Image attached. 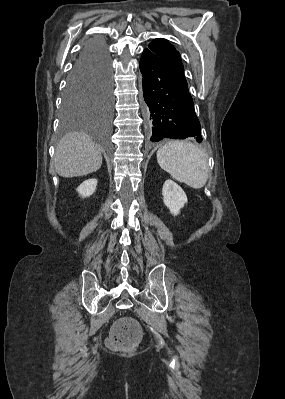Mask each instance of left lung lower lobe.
Instances as JSON below:
<instances>
[{
  "label": "left lung lower lobe",
  "mask_w": 285,
  "mask_h": 399,
  "mask_svg": "<svg viewBox=\"0 0 285 399\" xmlns=\"http://www.w3.org/2000/svg\"><path fill=\"white\" fill-rule=\"evenodd\" d=\"M140 71L143 94L151 120L152 142L164 138L195 137L202 141L200 122L185 77L176 74L162 59L145 48Z\"/></svg>",
  "instance_id": "1"
}]
</instances>
